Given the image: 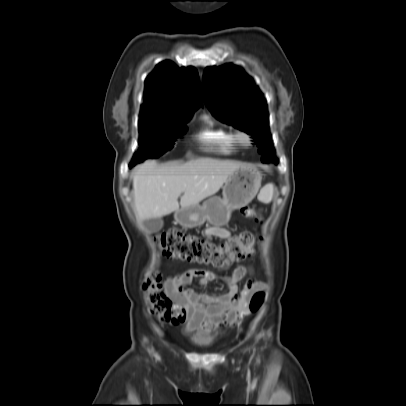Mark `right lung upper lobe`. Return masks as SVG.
Listing matches in <instances>:
<instances>
[{
    "label": "right lung upper lobe",
    "instance_id": "cb5924a9",
    "mask_svg": "<svg viewBox=\"0 0 406 406\" xmlns=\"http://www.w3.org/2000/svg\"><path fill=\"white\" fill-rule=\"evenodd\" d=\"M200 104V81L195 68H179L164 61L145 80L140 119L188 121Z\"/></svg>",
    "mask_w": 406,
    "mask_h": 406
}]
</instances>
